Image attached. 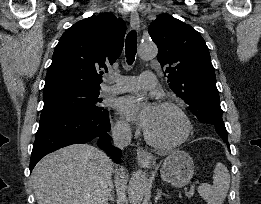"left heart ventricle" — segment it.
I'll return each mask as SVG.
<instances>
[{
  "label": "left heart ventricle",
  "instance_id": "1",
  "mask_svg": "<svg viewBox=\"0 0 261 204\" xmlns=\"http://www.w3.org/2000/svg\"><path fill=\"white\" fill-rule=\"evenodd\" d=\"M146 132L156 141L170 143L179 139L184 124L176 111L170 108L154 107Z\"/></svg>",
  "mask_w": 261,
  "mask_h": 204
}]
</instances>
